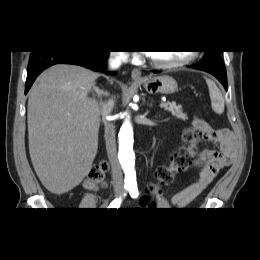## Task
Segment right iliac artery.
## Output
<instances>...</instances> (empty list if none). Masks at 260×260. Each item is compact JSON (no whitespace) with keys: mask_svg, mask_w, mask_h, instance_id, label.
<instances>
[{"mask_svg":"<svg viewBox=\"0 0 260 260\" xmlns=\"http://www.w3.org/2000/svg\"><path fill=\"white\" fill-rule=\"evenodd\" d=\"M127 191H129V188L128 187H126L125 188ZM125 195V194H124ZM122 200H123V197H119V198H116L115 200H113L112 201V203L109 205V208L110 209H117V208H119L120 207V205H121V202H122Z\"/></svg>","mask_w":260,"mask_h":260,"instance_id":"right-iliac-artery-1","label":"right iliac artery"}]
</instances>
